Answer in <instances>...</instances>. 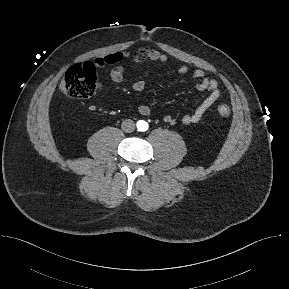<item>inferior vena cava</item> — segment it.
Here are the masks:
<instances>
[{
  "label": "inferior vena cava",
  "mask_w": 289,
  "mask_h": 289,
  "mask_svg": "<svg viewBox=\"0 0 289 289\" xmlns=\"http://www.w3.org/2000/svg\"><path fill=\"white\" fill-rule=\"evenodd\" d=\"M121 128L123 131L130 133L135 129V123L131 119H125L121 124Z\"/></svg>",
  "instance_id": "inferior-vena-cava-1"
}]
</instances>
